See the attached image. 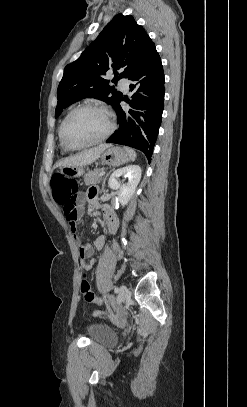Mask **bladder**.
I'll return each instance as SVG.
<instances>
[{
  "instance_id": "31cf9c89",
  "label": "bladder",
  "mask_w": 247,
  "mask_h": 407,
  "mask_svg": "<svg viewBox=\"0 0 247 407\" xmlns=\"http://www.w3.org/2000/svg\"><path fill=\"white\" fill-rule=\"evenodd\" d=\"M87 337L91 342L105 346H113L117 342L116 333L105 325L89 327Z\"/></svg>"
}]
</instances>
